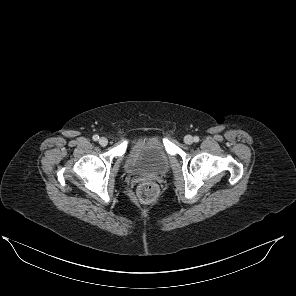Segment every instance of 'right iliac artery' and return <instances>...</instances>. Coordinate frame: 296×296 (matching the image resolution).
I'll use <instances>...</instances> for the list:
<instances>
[{"label":"right iliac artery","instance_id":"1","mask_svg":"<svg viewBox=\"0 0 296 296\" xmlns=\"http://www.w3.org/2000/svg\"><path fill=\"white\" fill-rule=\"evenodd\" d=\"M98 139H99V136H98V135H94V136H93V140H94V141H97Z\"/></svg>","mask_w":296,"mask_h":296}]
</instances>
